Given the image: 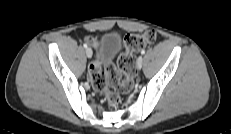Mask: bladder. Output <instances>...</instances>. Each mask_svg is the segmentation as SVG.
<instances>
[{"instance_id":"obj_1","label":"bladder","mask_w":231,"mask_h":134,"mask_svg":"<svg viewBox=\"0 0 231 134\" xmlns=\"http://www.w3.org/2000/svg\"><path fill=\"white\" fill-rule=\"evenodd\" d=\"M121 49V36L116 32L105 33L99 43V62L109 64Z\"/></svg>"}]
</instances>
